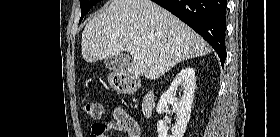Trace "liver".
I'll use <instances>...</instances> for the list:
<instances>
[{"instance_id": "obj_1", "label": "liver", "mask_w": 280, "mask_h": 137, "mask_svg": "<svg viewBox=\"0 0 280 137\" xmlns=\"http://www.w3.org/2000/svg\"><path fill=\"white\" fill-rule=\"evenodd\" d=\"M81 49L88 63L129 52L127 72L147 79L211 51L199 34L151 0H112L86 24Z\"/></svg>"}]
</instances>
